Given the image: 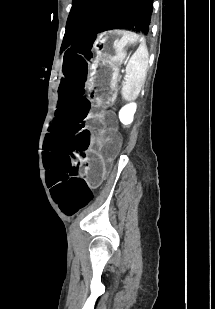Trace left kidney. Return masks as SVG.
<instances>
[{"label": "left kidney", "mask_w": 215, "mask_h": 309, "mask_svg": "<svg viewBox=\"0 0 215 309\" xmlns=\"http://www.w3.org/2000/svg\"><path fill=\"white\" fill-rule=\"evenodd\" d=\"M136 108V102H129V104H125V106L120 108L118 116L123 124H131L133 122Z\"/></svg>", "instance_id": "obj_1"}]
</instances>
